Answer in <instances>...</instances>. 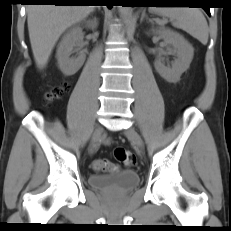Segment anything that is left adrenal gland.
I'll return each mask as SVG.
<instances>
[{
  "mask_svg": "<svg viewBox=\"0 0 231 231\" xmlns=\"http://www.w3.org/2000/svg\"><path fill=\"white\" fill-rule=\"evenodd\" d=\"M144 19H146V20L149 19L148 16L146 15L145 11L142 12L141 19H140V23H142ZM149 20H150V19H149Z\"/></svg>",
  "mask_w": 231,
  "mask_h": 231,
  "instance_id": "a2214340",
  "label": "left adrenal gland"
}]
</instances>
